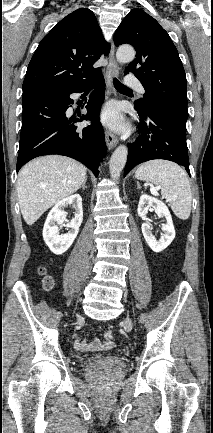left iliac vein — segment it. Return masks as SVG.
Segmentation results:
<instances>
[{
    "mask_svg": "<svg viewBox=\"0 0 213 433\" xmlns=\"http://www.w3.org/2000/svg\"><path fill=\"white\" fill-rule=\"evenodd\" d=\"M126 324L128 327H132V321L130 319H127Z\"/></svg>",
    "mask_w": 213,
    "mask_h": 433,
    "instance_id": "1",
    "label": "left iliac vein"
}]
</instances>
